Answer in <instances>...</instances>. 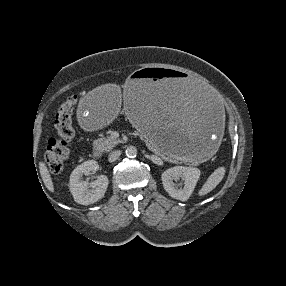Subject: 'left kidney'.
Segmentation results:
<instances>
[{
    "label": "left kidney",
    "mask_w": 286,
    "mask_h": 286,
    "mask_svg": "<svg viewBox=\"0 0 286 286\" xmlns=\"http://www.w3.org/2000/svg\"><path fill=\"white\" fill-rule=\"evenodd\" d=\"M162 184L165 191L174 199L186 201L194 191L200 170L194 167L174 166L165 170L162 175ZM182 178L184 180L183 188H178L173 180Z\"/></svg>",
    "instance_id": "left-kidney-1"
}]
</instances>
